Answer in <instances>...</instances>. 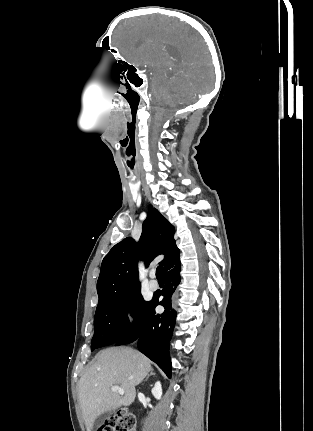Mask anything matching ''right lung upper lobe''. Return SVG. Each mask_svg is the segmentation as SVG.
<instances>
[{
    "instance_id": "1",
    "label": "right lung upper lobe",
    "mask_w": 313,
    "mask_h": 431,
    "mask_svg": "<svg viewBox=\"0 0 313 431\" xmlns=\"http://www.w3.org/2000/svg\"><path fill=\"white\" fill-rule=\"evenodd\" d=\"M174 233L175 229L169 221L156 208H152L143 222L138 244L128 237L113 246L104 257L97 282L99 302L140 289L137 253L146 266L156 256L164 254L161 263L166 269L179 254Z\"/></svg>"
}]
</instances>
